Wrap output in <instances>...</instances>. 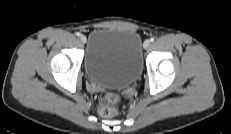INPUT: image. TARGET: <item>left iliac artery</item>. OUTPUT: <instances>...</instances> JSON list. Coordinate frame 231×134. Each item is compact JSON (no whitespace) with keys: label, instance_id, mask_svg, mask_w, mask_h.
I'll use <instances>...</instances> for the list:
<instances>
[{"label":"left iliac artery","instance_id":"1","mask_svg":"<svg viewBox=\"0 0 231 134\" xmlns=\"http://www.w3.org/2000/svg\"><path fill=\"white\" fill-rule=\"evenodd\" d=\"M154 40H155V38H154V37H152V38L150 39V41H151V42H154Z\"/></svg>","mask_w":231,"mask_h":134}]
</instances>
